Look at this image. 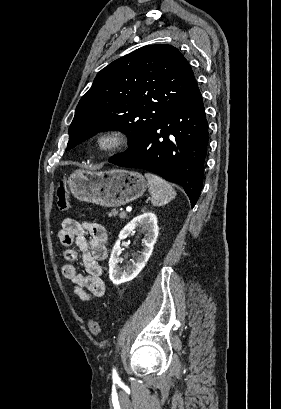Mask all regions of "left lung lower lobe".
<instances>
[{
  "label": "left lung lower lobe",
  "mask_w": 281,
  "mask_h": 409,
  "mask_svg": "<svg viewBox=\"0 0 281 409\" xmlns=\"http://www.w3.org/2000/svg\"><path fill=\"white\" fill-rule=\"evenodd\" d=\"M207 146L208 123L195 82L136 145L109 162L148 170L181 185L194 207L202 189Z\"/></svg>",
  "instance_id": "0a47b994"
}]
</instances>
